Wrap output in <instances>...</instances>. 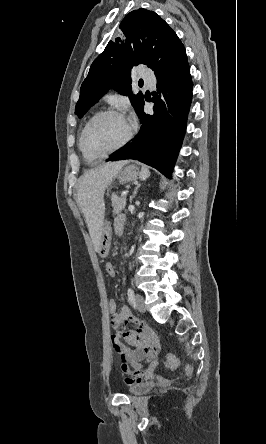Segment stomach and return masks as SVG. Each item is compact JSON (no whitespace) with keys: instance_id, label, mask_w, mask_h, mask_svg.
Masks as SVG:
<instances>
[{"instance_id":"obj_1","label":"stomach","mask_w":266,"mask_h":444,"mask_svg":"<svg viewBox=\"0 0 266 444\" xmlns=\"http://www.w3.org/2000/svg\"><path fill=\"white\" fill-rule=\"evenodd\" d=\"M116 178L121 183H128L134 181L138 178H144V173L135 164H128L124 166L117 174ZM112 232L109 223L105 222L102 226V235L99 246V253L106 255L108 252V247L111 242ZM105 244V247L104 245ZM106 248V251H105Z\"/></svg>"}]
</instances>
